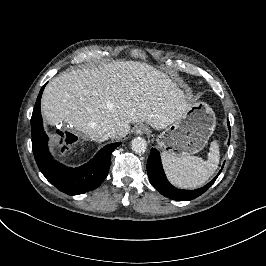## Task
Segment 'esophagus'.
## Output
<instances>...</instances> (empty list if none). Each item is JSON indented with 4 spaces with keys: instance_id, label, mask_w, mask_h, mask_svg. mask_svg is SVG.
<instances>
[{
    "instance_id": "obj_1",
    "label": "esophagus",
    "mask_w": 266,
    "mask_h": 266,
    "mask_svg": "<svg viewBox=\"0 0 266 266\" xmlns=\"http://www.w3.org/2000/svg\"><path fill=\"white\" fill-rule=\"evenodd\" d=\"M147 132V127H145L144 125H139L136 129H135V133L137 135H144Z\"/></svg>"
}]
</instances>
